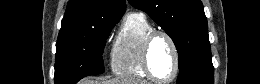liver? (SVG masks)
<instances>
[{
	"instance_id": "6515ba94",
	"label": "liver",
	"mask_w": 260,
	"mask_h": 84,
	"mask_svg": "<svg viewBox=\"0 0 260 84\" xmlns=\"http://www.w3.org/2000/svg\"><path fill=\"white\" fill-rule=\"evenodd\" d=\"M80 84H149L147 81L143 80H132V79H112L107 81H97L87 78L81 81Z\"/></svg>"
}]
</instances>
